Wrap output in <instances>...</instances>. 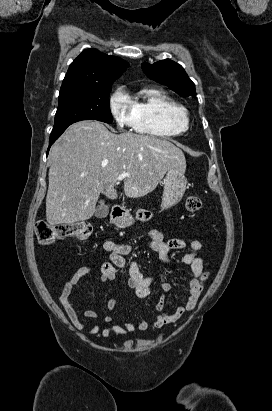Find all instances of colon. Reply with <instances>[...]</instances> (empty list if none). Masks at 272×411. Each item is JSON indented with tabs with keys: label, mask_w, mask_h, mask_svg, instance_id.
I'll return each instance as SVG.
<instances>
[{
	"label": "colon",
	"mask_w": 272,
	"mask_h": 411,
	"mask_svg": "<svg viewBox=\"0 0 272 411\" xmlns=\"http://www.w3.org/2000/svg\"><path fill=\"white\" fill-rule=\"evenodd\" d=\"M185 207L188 212H197L202 207L201 199L198 196H189ZM90 234L91 227L85 222L49 224L45 221H38L36 225V238L42 245H51L58 240L71 237L84 241Z\"/></svg>",
	"instance_id": "5ec220e1"
}]
</instances>
